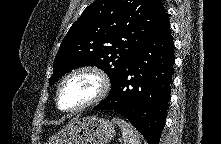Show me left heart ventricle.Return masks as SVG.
<instances>
[{
  "label": "left heart ventricle",
  "instance_id": "b2bd125f",
  "mask_svg": "<svg viewBox=\"0 0 221 144\" xmlns=\"http://www.w3.org/2000/svg\"><path fill=\"white\" fill-rule=\"evenodd\" d=\"M99 83L91 74H79L69 79L60 93V106L64 109L74 108L89 100L97 93Z\"/></svg>",
  "mask_w": 221,
  "mask_h": 144
}]
</instances>
